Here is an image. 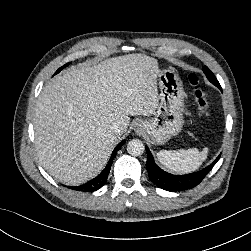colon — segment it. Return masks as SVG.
<instances>
[{
  "label": "colon",
  "instance_id": "1",
  "mask_svg": "<svg viewBox=\"0 0 251 251\" xmlns=\"http://www.w3.org/2000/svg\"><path fill=\"white\" fill-rule=\"evenodd\" d=\"M189 81L194 89V98L197 104L199 113L203 117H208L210 114V99L208 93L201 85V81L198 75L190 74Z\"/></svg>",
  "mask_w": 251,
  "mask_h": 251
}]
</instances>
